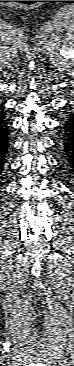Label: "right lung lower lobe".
I'll list each match as a JSON object with an SVG mask.
<instances>
[{
	"label": "right lung lower lobe",
	"instance_id": "98d812e1",
	"mask_svg": "<svg viewBox=\"0 0 74 366\" xmlns=\"http://www.w3.org/2000/svg\"><path fill=\"white\" fill-rule=\"evenodd\" d=\"M4 106L0 104V167L4 164L5 155L9 148V126L8 119L3 113Z\"/></svg>",
	"mask_w": 74,
	"mask_h": 366
}]
</instances>
